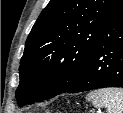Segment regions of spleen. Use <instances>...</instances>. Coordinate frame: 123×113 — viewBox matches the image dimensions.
Returning <instances> with one entry per match:
<instances>
[{
	"mask_svg": "<svg viewBox=\"0 0 123 113\" xmlns=\"http://www.w3.org/2000/svg\"><path fill=\"white\" fill-rule=\"evenodd\" d=\"M86 99L94 107H105L108 113H123V89L104 88L90 92Z\"/></svg>",
	"mask_w": 123,
	"mask_h": 113,
	"instance_id": "spleen-1",
	"label": "spleen"
}]
</instances>
